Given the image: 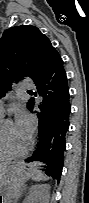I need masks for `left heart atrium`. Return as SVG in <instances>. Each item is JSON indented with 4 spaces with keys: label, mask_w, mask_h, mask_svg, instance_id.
<instances>
[{
    "label": "left heart atrium",
    "mask_w": 89,
    "mask_h": 203,
    "mask_svg": "<svg viewBox=\"0 0 89 203\" xmlns=\"http://www.w3.org/2000/svg\"><path fill=\"white\" fill-rule=\"evenodd\" d=\"M15 126L20 135L29 139L34 127L33 117L26 112H19L16 117Z\"/></svg>",
    "instance_id": "obj_1"
}]
</instances>
